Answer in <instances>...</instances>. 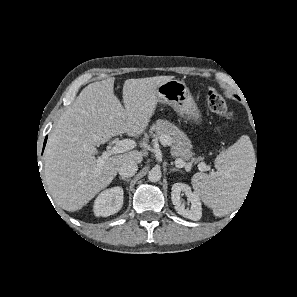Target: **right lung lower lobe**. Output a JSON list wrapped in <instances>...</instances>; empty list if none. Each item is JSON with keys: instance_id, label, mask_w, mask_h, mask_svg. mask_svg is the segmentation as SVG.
<instances>
[{"instance_id": "1", "label": "right lung lower lobe", "mask_w": 297, "mask_h": 297, "mask_svg": "<svg viewBox=\"0 0 297 297\" xmlns=\"http://www.w3.org/2000/svg\"><path fill=\"white\" fill-rule=\"evenodd\" d=\"M46 141H47V137L45 138V141H44V147H45Z\"/></svg>"}]
</instances>
